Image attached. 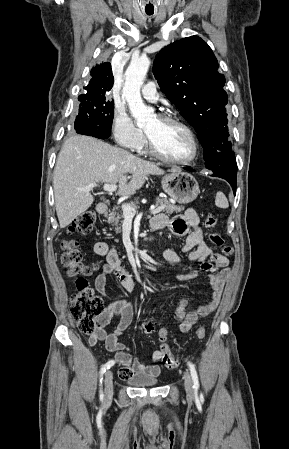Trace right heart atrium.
<instances>
[{
  "mask_svg": "<svg viewBox=\"0 0 289 449\" xmlns=\"http://www.w3.org/2000/svg\"><path fill=\"white\" fill-rule=\"evenodd\" d=\"M112 132L116 143L129 150H140L145 142V137L140 128H138L121 108H116L112 121Z\"/></svg>",
  "mask_w": 289,
  "mask_h": 449,
  "instance_id": "right-heart-atrium-1",
  "label": "right heart atrium"
}]
</instances>
